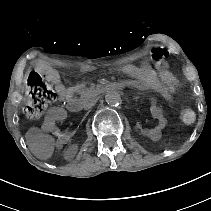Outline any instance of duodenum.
I'll list each match as a JSON object with an SVG mask.
<instances>
[{"label": "duodenum", "mask_w": 211, "mask_h": 211, "mask_svg": "<svg viewBox=\"0 0 211 211\" xmlns=\"http://www.w3.org/2000/svg\"><path fill=\"white\" fill-rule=\"evenodd\" d=\"M135 89L138 88V83L135 80H124L118 81L114 83H109L105 85H101L96 89V93H104L110 90H124V89ZM68 109L71 112H79L82 108V104L78 100H69L67 104Z\"/></svg>", "instance_id": "obj_1"}]
</instances>
